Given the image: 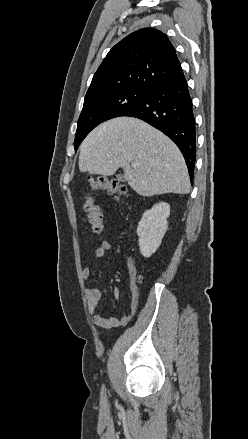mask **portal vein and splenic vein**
I'll use <instances>...</instances> for the list:
<instances>
[{
  "mask_svg": "<svg viewBox=\"0 0 248 439\" xmlns=\"http://www.w3.org/2000/svg\"><path fill=\"white\" fill-rule=\"evenodd\" d=\"M131 165H132L133 167H136V166H137V163H136V162H132Z\"/></svg>",
  "mask_w": 248,
  "mask_h": 439,
  "instance_id": "1",
  "label": "portal vein and splenic vein"
}]
</instances>
